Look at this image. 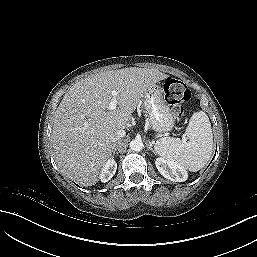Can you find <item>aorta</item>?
<instances>
[{"label": "aorta", "instance_id": "obj_1", "mask_svg": "<svg viewBox=\"0 0 257 257\" xmlns=\"http://www.w3.org/2000/svg\"><path fill=\"white\" fill-rule=\"evenodd\" d=\"M129 147H130V149H131L132 151H134V152H139V151H141V150L143 149L144 144H143V142H142L141 139L136 138V139H133V140L130 142Z\"/></svg>", "mask_w": 257, "mask_h": 257}]
</instances>
